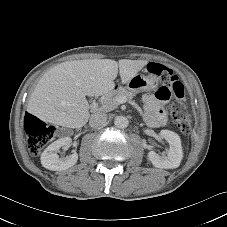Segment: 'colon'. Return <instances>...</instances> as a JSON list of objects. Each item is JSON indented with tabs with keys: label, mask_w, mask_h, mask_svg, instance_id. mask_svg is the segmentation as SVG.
Returning <instances> with one entry per match:
<instances>
[{
	"label": "colon",
	"mask_w": 227,
	"mask_h": 227,
	"mask_svg": "<svg viewBox=\"0 0 227 227\" xmlns=\"http://www.w3.org/2000/svg\"><path fill=\"white\" fill-rule=\"evenodd\" d=\"M148 71L160 77L164 86L174 94L176 100L170 106V114L173 122L184 134L191 131V117L184 104V87L174 75L173 71L158 63H150ZM24 128L28 135L27 147L32 155H37L55 136L56 127L47 124L32 114H26Z\"/></svg>",
	"instance_id": "obj_1"
}]
</instances>
